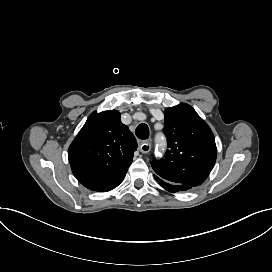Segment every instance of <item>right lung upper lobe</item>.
I'll return each mask as SVG.
<instances>
[{
	"mask_svg": "<svg viewBox=\"0 0 272 272\" xmlns=\"http://www.w3.org/2000/svg\"><path fill=\"white\" fill-rule=\"evenodd\" d=\"M136 149V139L118 111L93 112L71 143L68 158L82 185L105 192L123 181Z\"/></svg>",
	"mask_w": 272,
	"mask_h": 272,
	"instance_id": "obj_1",
	"label": "right lung upper lobe"
}]
</instances>
